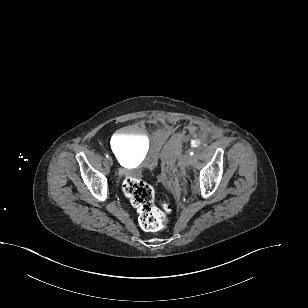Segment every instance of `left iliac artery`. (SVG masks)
<instances>
[{
  "instance_id": "44dca946",
  "label": "left iliac artery",
  "mask_w": 308,
  "mask_h": 308,
  "mask_svg": "<svg viewBox=\"0 0 308 308\" xmlns=\"http://www.w3.org/2000/svg\"><path fill=\"white\" fill-rule=\"evenodd\" d=\"M190 155H194V151H191V152H190Z\"/></svg>"
}]
</instances>
